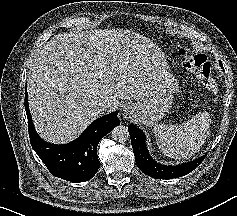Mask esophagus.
Returning <instances> with one entry per match:
<instances>
[{
  "label": "esophagus",
  "mask_w": 237,
  "mask_h": 216,
  "mask_svg": "<svg viewBox=\"0 0 237 216\" xmlns=\"http://www.w3.org/2000/svg\"><path fill=\"white\" fill-rule=\"evenodd\" d=\"M132 107L130 104H125L123 106V111H122V116L124 119H133V114H132Z\"/></svg>",
  "instance_id": "1"
}]
</instances>
